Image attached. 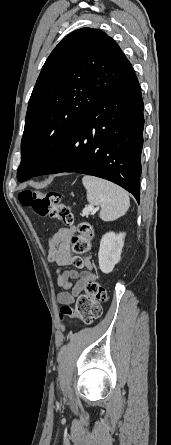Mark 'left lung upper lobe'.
I'll use <instances>...</instances> for the list:
<instances>
[{
  "mask_svg": "<svg viewBox=\"0 0 171 445\" xmlns=\"http://www.w3.org/2000/svg\"><path fill=\"white\" fill-rule=\"evenodd\" d=\"M133 73L120 47L102 31L81 28L67 35L46 60L31 94L18 181L41 170L88 108Z\"/></svg>",
  "mask_w": 171,
  "mask_h": 445,
  "instance_id": "obj_1",
  "label": "left lung upper lobe"
}]
</instances>
